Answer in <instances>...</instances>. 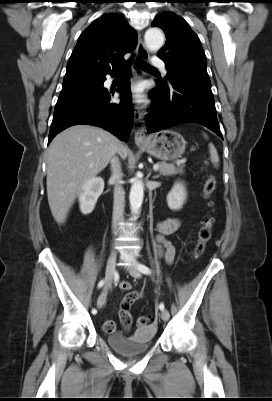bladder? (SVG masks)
<instances>
[{
	"label": "bladder",
	"instance_id": "1",
	"mask_svg": "<svg viewBox=\"0 0 272 401\" xmlns=\"http://www.w3.org/2000/svg\"><path fill=\"white\" fill-rule=\"evenodd\" d=\"M155 333V327L143 326L139 327L131 336L110 333L107 336V342L112 349L122 355L136 356L144 354L150 349Z\"/></svg>",
	"mask_w": 272,
	"mask_h": 401
}]
</instances>
